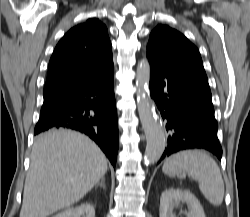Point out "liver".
<instances>
[{
  "label": "liver",
  "instance_id": "obj_1",
  "mask_svg": "<svg viewBox=\"0 0 250 217\" xmlns=\"http://www.w3.org/2000/svg\"><path fill=\"white\" fill-rule=\"evenodd\" d=\"M106 156L87 136L60 129L37 137L20 217H47L83 198L107 172Z\"/></svg>",
  "mask_w": 250,
  "mask_h": 217
}]
</instances>
